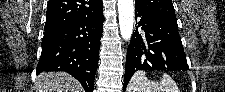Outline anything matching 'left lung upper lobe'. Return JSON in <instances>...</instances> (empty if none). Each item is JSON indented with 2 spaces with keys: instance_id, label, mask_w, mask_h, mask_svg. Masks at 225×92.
Returning <instances> with one entry per match:
<instances>
[{
  "instance_id": "left-lung-upper-lobe-1",
  "label": "left lung upper lobe",
  "mask_w": 225,
  "mask_h": 92,
  "mask_svg": "<svg viewBox=\"0 0 225 92\" xmlns=\"http://www.w3.org/2000/svg\"><path fill=\"white\" fill-rule=\"evenodd\" d=\"M135 10L149 17L177 24L172 0H135Z\"/></svg>"
}]
</instances>
